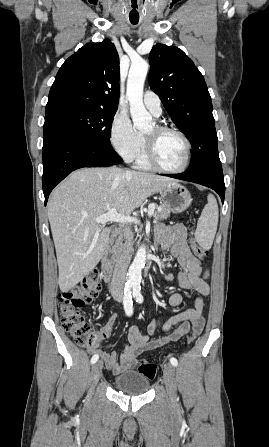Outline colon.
<instances>
[{"instance_id":"5ec220e1","label":"colon","mask_w":269,"mask_h":447,"mask_svg":"<svg viewBox=\"0 0 269 447\" xmlns=\"http://www.w3.org/2000/svg\"><path fill=\"white\" fill-rule=\"evenodd\" d=\"M192 253L205 259L208 255L196 241L190 244ZM101 279L98 273H90L72 289L63 290L58 294V306L62 327L79 346L96 345L100 335L93 331L86 315V307H94L99 303ZM193 331L187 334V343L195 341ZM135 370L142 377L152 380L157 375V365L142 359L135 362Z\"/></svg>"}]
</instances>
